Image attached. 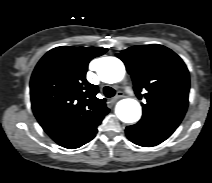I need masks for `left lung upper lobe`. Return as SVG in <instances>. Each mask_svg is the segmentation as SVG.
<instances>
[{
  "label": "left lung upper lobe",
  "instance_id": "5c2ea615",
  "mask_svg": "<svg viewBox=\"0 0 212 183\" xmlns=\"http://www.w3.org/2000/svg\"><path fill=\"white\" fill-rule=\"evenodd\" d=\"M117 57L125 63L139 99L144 92L142 119L176 129L187 110L190 88L182 59L159 44L133 46Z\"/></svg>",
  "mask_w": 212,
  "mask_h": 183
}]
</instances>
